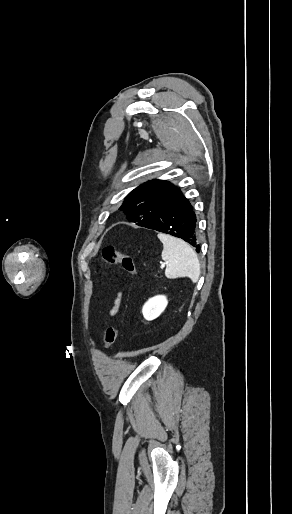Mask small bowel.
Segmentation results:
<instances>
[{"label": "small bowel", "mask_w": 292, "mask_h": 514, "mask_svg": "<svg viewBox=\"0 0 292 514\" xmlns=\"http://www.w3.org/2000/svg\"><path fill=\"white\" fill-rule=\"evenodd\" d=\"M121 305V294L118 293L113 301V304L109 310L110 316L114 317L118 314Z\"/></svg>", "instance_id": "c3829d8e"}]
</instances>
